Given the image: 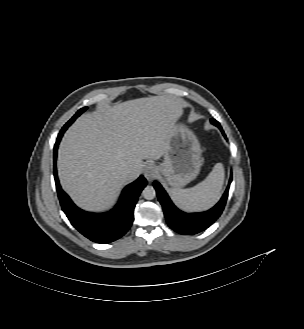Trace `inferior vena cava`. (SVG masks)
Here are the masks:
<instances>
[{
	"mask_svg": "<svg viewBox=\"0 0 304 329\" xmlns=\"http://www.w3.org/2000/svg\"><path fill=\"white\" fill-rule=\"evenodd\" d=\"M131 170L132 169L129 166H122L120 167L119 172L123 177H127L131 173Z\"/></svg>",
	"mask_w": 304,
	"mask_h": 329,
	"instance_id": "602c4592",
	"label": "inferior vena cava"
}]
</instances>
